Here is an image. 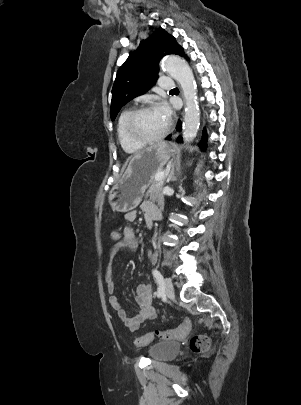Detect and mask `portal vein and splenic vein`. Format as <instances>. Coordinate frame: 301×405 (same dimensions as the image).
Returning a JSON list of instances; mask_svg holds the SVG:
<instances>
[{
	"label": "portal vein and splenic vein",
	"instance_id": "obj_1",
	"mask_svg": "<svg viewBox=\"0 0 301 405\" xmlns=\"http://www.w3.org/2000/svg\"><path fill=\"white\" fill-rule=\"evenodd\" d=\"M164 176H165L164 172H159V173L156 174L155 180L163 182Z\"/></svg>",
	"mask_w": 301,
	"mask_h": 405
}]
</instances>
